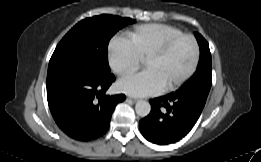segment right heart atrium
Masks as SVG:
<instances>
[{"instance_id":"right-heart-atrium-1","label":"right heart atrium","mask_w":261,"mask_h":162,"mask_svg":"<svg viewBox=\"0 0 261 162\" xmlns=\"http://www.w3.org/2000/svg\"><path fill=\"white\" fill-rule=\"evenodd\" d=\"M107 56L110 68L119 76L134 72L142 63L129 41L123 37H116L110 42Z\"/></svg>"}]
</instances>
